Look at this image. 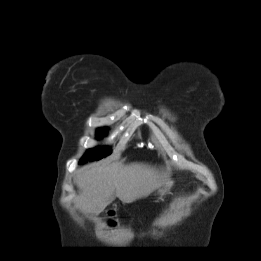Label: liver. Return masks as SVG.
I'll use <instances>...</instances> for the list:
<instances>
[{"label": "liver", "instance_id": "obj_1", "mask_svg": "<svg viewBox=\"0 0 261 261\" xmlns=\"http://www.w3.org/2000/svg\"><path fill=\"white\" fill-rule=\"evenodd\" d=\"M167 181V172L145 164H91L81 168L75 177L82 191L77 204L83 212L98 215L116 197L124 203H132L164 186Z\"/></svg>", "mask_w": 261, "mask_h": 261}]
</instances>
